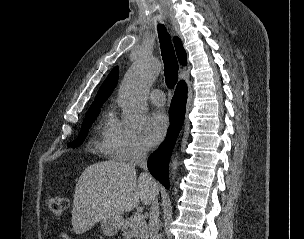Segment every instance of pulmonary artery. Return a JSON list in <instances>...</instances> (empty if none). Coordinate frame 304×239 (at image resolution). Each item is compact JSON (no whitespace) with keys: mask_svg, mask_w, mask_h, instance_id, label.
<instances>
[{"mask_svg":"<svg viewBox=\"0 0 304 239\" xmlns=\"http://www.w3.org/2000/svg\"><path fill=\"white\" fill-rule=\"evenodd\" d=\"M149 100L154 105L162 106L165 103V95L161 90H153L149 94Z\"/></svg>","mask_w":304,"mask_h":239,"instance_id":"1","label":"pulmonary artery"}]
</instances>
